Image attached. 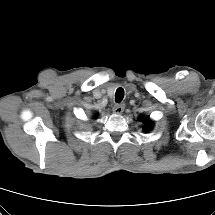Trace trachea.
<instances>
[{"label":"trachea","mask_w":215,"mask_h":215,"mask_svg":"<svg viewBox=\"0 0 215 215\" xmlns=\"http://www.w3.org/2000/svg\"><path fill=\"white\" fill-rule=\"evenodd\" d=\"M124 98V89L118 88L115 93V101L120 103Z\"/></svg>","instance_id":"1"}]
</instances>
